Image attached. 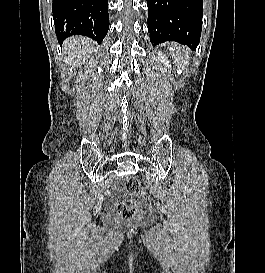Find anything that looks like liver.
<instances>
[{"label": "liver", "instance_id": "obj_1", "mask_svg": "<svg viewBox=\"0 0 265 273\" xmlns=\"http://www.w3.org/2000/svg\"><path fill=\"white\" fill-rule=\"evenodd\" d=\"M63 48L68 65L90 58L93 52L92 40L81 36L67 39Z\"/></svg>", "mask_w": 265, "mask_h": 273}]
</instances>
